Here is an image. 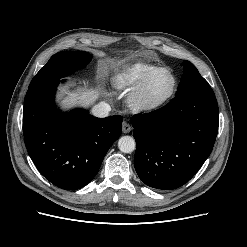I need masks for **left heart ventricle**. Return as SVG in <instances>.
<instances>
[{"mask_svg":"<svg viewBox=\"0 0 247 247\" xmlns=\"http://www.w3.org/2000/svg\"><path fill=\"white\" fill-rule=\"evenodd\" d=\"M172 87V78L165 71L153 73L146 81L142 98L149 102H155L164 98Z\"/></svg>","mask_w":247,"mask_h":247,"instance_id":"left-heart-ventricle-1","label":"left heart ventricle"}]
</instances>
